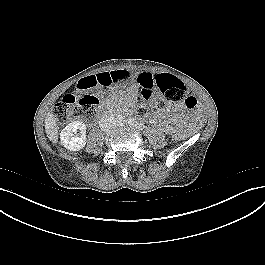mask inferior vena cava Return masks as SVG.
Returning <instances> with one entry per match:
<instances>
[{
	"instance_id": "602c4592",
	"label": "inferior vena cava",
	"mask_w": 265,
	"mask_h": 265,
	"mask_svg": "<svg viewBox=\"0 0 265 265\" xmlns=\"http://www.w3.org/2000/svg\"><path fill=\"white\" fill-rule=\"evenodd\" d=\"M99 126L103 131H109L116 126V119L113 115L105 114L99 121Z\"/></svg>"
}]
</instances>
